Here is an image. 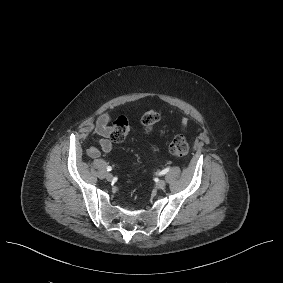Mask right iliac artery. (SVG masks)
Segmentation results:
<instances>
[{
  "label": "right iliac artery",
  "instance_id": "right-iliac-artery-1",
  "mask_svg": "<svg viewBox=\"0 0 283 283\" xmlns=\"http://www.w3.org/2000/svg\"><path fill=\"white\" fill-rule=\"evenodd\" d=\"M111 170H112L111 166H108L107 171H111Z\"/></svg>",
  "mask_w": 283,
  "mask_h": 283
}]
</instances>
